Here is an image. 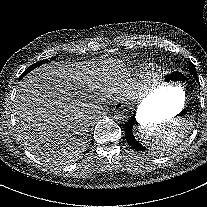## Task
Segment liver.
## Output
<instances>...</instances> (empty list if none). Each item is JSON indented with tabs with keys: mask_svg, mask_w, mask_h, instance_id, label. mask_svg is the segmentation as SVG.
Wrapping results in <instances>:
<instances>
[{
	"mask_svg": "<svg viewBox=\"0 0 207 207\" xmlns=\"http://www.w3.org/2000/svg\"><path fill=\"white\" fill-rule=\"evenodd\" d=\"M96 81L92 68L73 63L44 64L24 77L13 107L16 133L27 150L43 160L54 151H82L96 108L86 98Z\"/></svg>",
	"mask_w": 207,
	"mask_h": 207,
	"instance_id": "obj_1",
	"label": "liver"
}]
</instances>
